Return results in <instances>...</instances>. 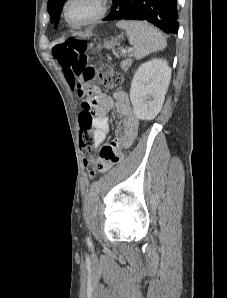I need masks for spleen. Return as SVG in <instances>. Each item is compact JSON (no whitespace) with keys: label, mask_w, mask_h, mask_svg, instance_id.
I'll return each mask as SVG.
<instances>
[{"label":"spleen","mask_w":227,"mask_h":298,"mask_svg":"<svg viewBox=\"0 0 227 298\" xmlns=\"http://www.w3.org/2000/svg\"><path fill=\"white\" fill-rule=\"evenodd\" d=\"M116 26L126 31L129 43L136 48L134 57L137 60L152 52L163 50L167 45L162 33L146 22L122 20Z\"/></svg>","instance_id":"3e777b00"}]
</instances>
